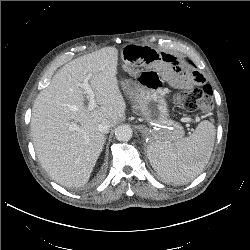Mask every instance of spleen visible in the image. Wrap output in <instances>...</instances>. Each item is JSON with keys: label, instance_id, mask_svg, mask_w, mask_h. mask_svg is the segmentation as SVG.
I'll return each mask as SVG.
<instances>
[{"label": "spleen", "instance_id": "3e777b00", "mask_svg": "<svg viewBox=\"0 0 250 250\" xmlns=\"http://www.w3.org/2000/svg\"><path fill=\"white\" fill-rule=\"evenodd\" d=\"M215 126L205 120L189 137L174 143L152 141L147 147L149 161L165 182L182 185L195 179L208 163L214 146Z\"/></svg>", "mask_w": 250, "mask_h": 250}]
</instances>
